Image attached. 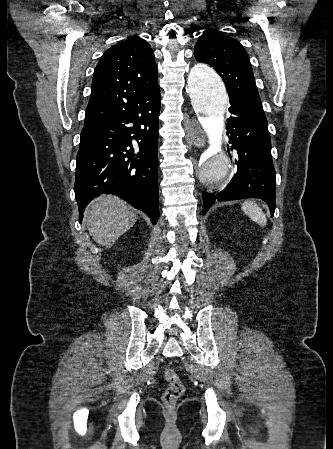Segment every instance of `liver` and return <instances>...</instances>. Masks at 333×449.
<instances>
[{"instance_id": "obj_1", "label": "liver", "mask_w": 333, "mask_h": 449, "mask_svg": "<svg viewBox=\"0 0 333 449\" xmlns=\"http://www.w3.org/2000/svg\"><path fill=\"white\" fill-rule=\"evenodd\" d=\"M137 221L131 207L117 196L102 195L86 208L87 229L98 244L110 248Z\"/></svg>"}]
</instances>
